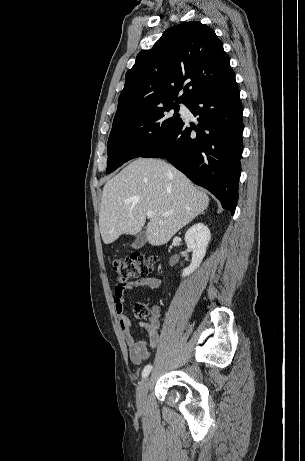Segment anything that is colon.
Returning <instances> with one entry per match:
<instances>
[{
    "instance_id": "obj_1",
    "label": "colon",
    "mask_w": 305,
    "mask_h": 461,
    "mask_svg": "<svg viewBox=\"0 0 305 461\" xmlns=\"http://www.w3.org/2000/svg\"><path fill=\"white\" fill-rule=\"evenodd\" d=\"M156 259L136 253L124 259H117L113 262V270L120 281L126 282L138 277H148L151 273ZM134 313L138 317H146L149 310L143 303L134 304Z\"/></svg>"
}]
</instances>
